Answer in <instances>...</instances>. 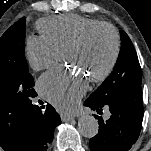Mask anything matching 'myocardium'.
Masks as SVG:
<instances>
[{
    "label": "myocardium",
    "instance_id": "myocardium-1",
    "mask_svg": "<svg viewBox=\"0 0 151 151\" xmlns=\"http://www.w3.org/2000/svg\"><path fill=\"white\" fill-rule=\"evenodd\" d=\"M103 30L107 31L111 35L113 42V52L108 65L100 73L90 77V80L93 82H100L105 80L116 66L120 54V38L116 29L108 23H100L94 25L87 29L77 40L72 42L65 50V57L69 59L71 54L83 49L88 44L94 34Z\"/></svg>",
    "mask_w": 151,
    "mask_h": 151
}]
</instances>
